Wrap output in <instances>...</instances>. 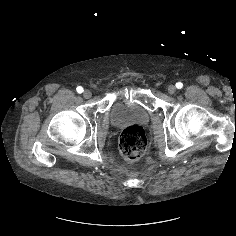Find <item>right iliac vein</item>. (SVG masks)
<instances>
[{
	"mask_svg": "<svg viewBox=\"0 0 236 236\" xmlns=\"http://www.w3.org/2000/svg\"><path fill=\"white\" fill-rule=\"evenodd\" d=\"M83 96H84V98L88 99V98H90L92 96V93L89 90H85L83 92Z\"/></svg>",
	"mask_w": 236,
	"mask_h": 236,
	"instance_id": "obj_1",
	"label": "right iliac vein"
}]
</instances>
